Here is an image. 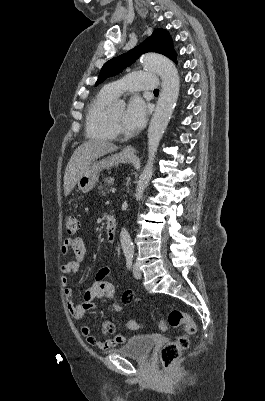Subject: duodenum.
I'll use <instances>...</instances> for the list:
<instances>
[{
  "mask_svg": "<svg viewBox=\"0 0 265 401\" xmlns=\"http://www.w3.org/2000/svg\"><path fill=\"white\" fill-rule=\"evenodd\" d=\"M106 237L109 243H114L116 239L117 223L112 214L105 215Z\"/></svg>",
  "mask_w": 265,
  "mask_h": 401,
  "instance_id": "duodenum-1",
  "label": "duodenum"
}]
</instances>
